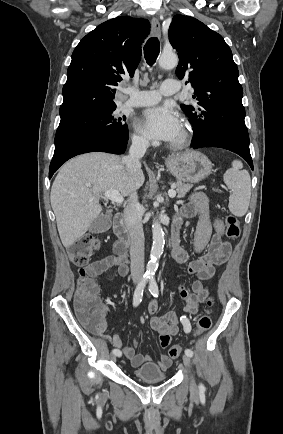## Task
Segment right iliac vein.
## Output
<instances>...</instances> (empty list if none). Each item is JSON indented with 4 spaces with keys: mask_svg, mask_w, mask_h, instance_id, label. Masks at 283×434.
Here are the masks:
<instances>
[{
    "mask_svg": "<svg viewBox=\"0 0 283 434\" xmlns=\"http://www.w3.org/2000/svg\"><path fill=\"white\" fill-rule=\"evenodd\" d=\"M110 359H111V361L115 362L116 361V355L115 354H111Z\"/></svg>",
    "mask_w": 283,
    "mask_h": 434,
    "instance_id": "right-iliac-vein-1",
    "label": "right iliac vein"
}]
</instances>
